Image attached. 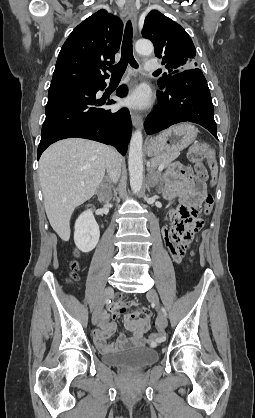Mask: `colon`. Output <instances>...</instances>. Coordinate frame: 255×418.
Segmentation results:
<instances>
[{"label": "colon", "instance_id": "obj_1", "mask_svg": "<svg viewBox=\"0 0 255 418\" xmlns=\"http://www.w3.org/2000/svg\"><path fill=\"white\" fill-rule=\"evenodd\" d=\"M206 152V146L204 144H197L192 147L189 152V159L194 164L195 170L197 175L201 179H208L209 178V170L205 164L204 156ZM215 180V173H211V182ZM213 197L211 195H207L204 201V212L206 214L210 213L213 207ZM91 208V207H90ZM204 221L199 217V212L197 209H191L188 215L182 219L180 222L175 224L173 228H197L198 231L203 227ZM199 239L195 238L193 243H198ZM189 249H187L188 252ZM197 245H192V250L189 251L190 257L196 256ZM193 261L192 259L190 260ZM78 270L79 264L77 261H72L71 263V274L70 279L72 281L78 280ZM162 339V336L159 333H152L149 336V342L153 345L158 344Z\"/></svg>", "mask_w": 255, "mask_h": 418}]
</instances>
